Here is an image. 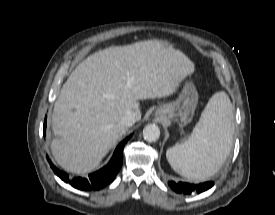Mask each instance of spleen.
<instances>
[{"label":"spleen","mask_w":275,"mask_h":215,"mask_svg":"<svg viewBox=\"0 0 275 215\" xmlns=\"http://www.w3.org/2000/svg\"><path fill=\"white\" fill-rule=\"evenodd\" d=\"M234 133L233 107L224 92L208 101L189 139L169 148L166 157L174 171L195 181L213 176L230 153Z\"/></svg>","instance_id":"1"}]
</instances>
